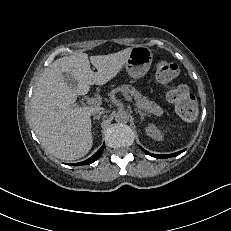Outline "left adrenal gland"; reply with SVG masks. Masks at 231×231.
Masks as SVG:
<instances>
[{"label":"left adrenal gland","instance_id":"1","mask_svg":"<svg viewBox=\"0 0 231 231\" xmlns=\"http://www.w3.org/2000/svg\"><path fill=\"white\" fill-rule=\"evenodd\" d=\"M134 110H135V112H136V113H139V114H140L141 119H144V117H145L146 113L142 112V111H141V110H139V109H134Z\"/></svg>","mask_w":231,"mask_h":231}]
</instances>
